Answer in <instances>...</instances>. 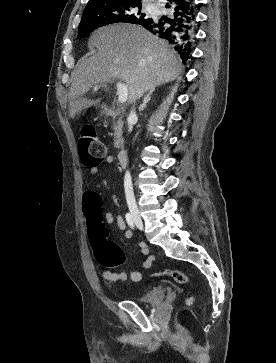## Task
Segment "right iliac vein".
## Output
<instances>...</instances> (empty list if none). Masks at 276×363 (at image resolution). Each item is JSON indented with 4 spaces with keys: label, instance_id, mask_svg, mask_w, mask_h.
<instances>
[{
    "label": "right iliac vein",
    "instance_id": "right-iliac-vein-1",
    "mask_svg": "<svg viewBox=\"0 0 276 363\" xmlns=\"http://www.w3.org/2000/svg\"><path fill=\"white\" fill-rule=\"evenodd\" d=\"M130 214L133 218L134 224L139 228L140 230L143 229V222L141 219V216L139 214L138 208L134 205L129 206Z\"/></svg>",
    "mask_w": 276,
    "mask_h": 363
}]
</instances>
